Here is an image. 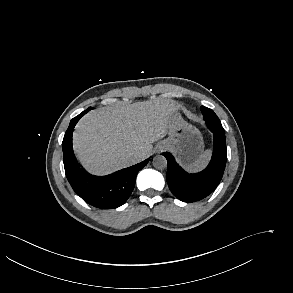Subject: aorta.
<instances>
[{
  "label": "aorta",
  "mask_w": 293,
  "mask_h": 293,
  "mask_svg": "<svg viewBox=\"0 0 293 293\" xmlns=\"http://www.w3.org/2000/svg\"><path fill=\"white\" fill-rule=\"evenodd\" d=\"M153 166L156 169L162 170L167 166V160L164 156L158 155L153 159Z\"/></svg>",
  "instance_id": "762f6f07"
}]
</instances>
